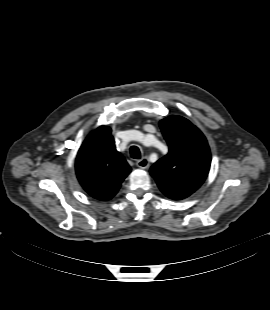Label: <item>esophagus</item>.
<instances>
[{
  "instance_id": "esophagus-1",
  "label": "esophagus",
  "mask_w": 270,
  "mask_h": 310,
  "mask_svg": "<svg viewBox=\"0 0 270 310\" xmlns=\"http://www.w3.org/2000/svg\"><path fill=\"white\" fill-rule=\"evenodd\" d=\"M136 165L141 168V169H147L149 167V161L146 157L140 159L139 161H137Z\"/></svg>"
}]
</instances>
